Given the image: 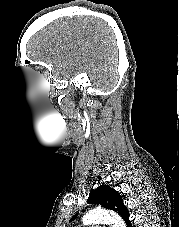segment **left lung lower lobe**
Listing matches in <instances>:
<instances>
[{"label":"left lung lower lobe","mask_w":179,"mask_h":227,"mask_svg":"<svg viewBox=\"0 0 179 227\" xmlns=\"http://www.w3.org/2000/svg\"><path fill=\"white\" fill-rule=\"evenodd\" d=\"M127 227H132L131 222L127 223Z\"/></svg>","instance_id":"1"}]
</instances>
